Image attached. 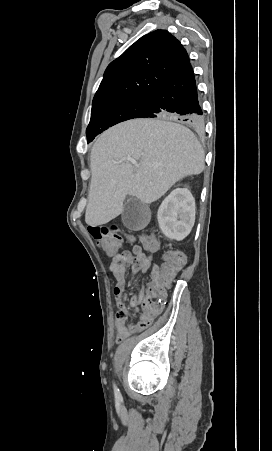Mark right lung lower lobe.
Returning a JSON list of instances; mask_svg holds the SVG:
<instances>
[{
    "label": "right lung lower lobe",
    "mask_w": 272,
    "mask_h": 451,
    "mask_svg": "<svg viewBox=\"0 0 272 451\" xmlns=\"http://www.w3.org/2000/svg\"><path fill=\"white\" fill-rule=\"evenodd\" d=\"M203 111L190 62L150 95L148 106L136 118L174 119L200 128Z\"/></svg>",
    "instance_id": "right-lung-lower-lobe-1"
}]
</instances>
